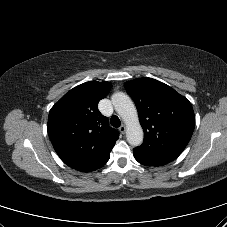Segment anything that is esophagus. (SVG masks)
<instances>
[{
  "mask_svg": "<svg viewBox=\"0 0 227 227\" xmlns=\"http://www.w3.org/2000/svg\"><path fill=\"white\" fill-rule=\"evenodd\" d=\"M119 130H120L121 133L124 134L126 132V126L125 125H121Z\"/></svg>",
  "mask_w": 227,
  "mask_h": 227,
  "instance_id": "34e87169",
  "label": "esophagus"
}]
</instances>
